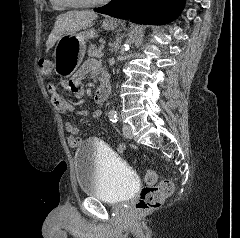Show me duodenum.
<instances>
[{
	"mask_svg": "<svg viewBox=\"0 0 240 238\" xmlns=\"http://www.w3.org/2000/svg\"><path fill=\"white\" fill-rule=\"evenodd\" d=\"M111 89L109 78L105 75L101 77L100 86L96 92L95 100L97 103H103L108 97Z\"/></svg>",
	"mask_w": 240,
	"mask_h": 238,
	"instance_id": "1",
	"label": "duodenum"
}]
</instances>
